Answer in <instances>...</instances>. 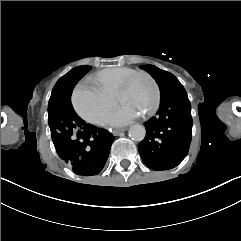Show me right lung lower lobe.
Returning a JSON list of instances; mask_svg holds the SVG:
<instances>
[{
	"label": "right lung lower lobe",
	"mask_w": 241,
	"mask_h": 241,
	"mask_svg": "<svg viewBox=\"0 0 241 241\" xmlns=\"http://www.w3.org/2000/svg\"><path fill=\"white\" fill-rule=\"evenodd\" d=\"M90 69L87 65L74 68L67 88L72 92ZM61 125L64 131L54 142L60 158L70 164L77 175L98 174L108 159L115 137L107 130L86 124L75 111L63 112Z\"/></svg>",
	"instance_id": "obj_1"
}]
</instances>
